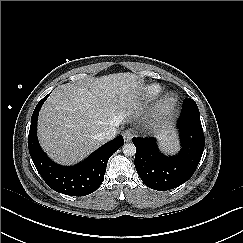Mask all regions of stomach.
Listing matches in <instances>:
<instances>
[{"instance_id": "0dacf381", "label": "stomach", "mask_w": 243, "mask_h": 243, "mask_svg": "<svg viewBox=\"0 0 243 243\" xmlns=\"http://www.w3.org/2000/svg\"><path fill=\"white\" fill-rule=\"evenodd\" d=\"M159 137H161V139L163 140V144L167 142V141H166V138H167V137L165 136L164 133H160V134H159Z\"/></svg>"}]
</instances>
